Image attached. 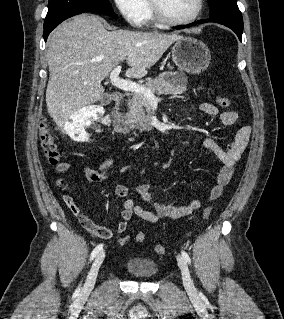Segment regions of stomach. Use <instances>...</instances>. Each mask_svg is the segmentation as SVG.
I'll use <instances>...</instances> for the list:
<instances>
[{"mask_svg": "<svg viewBox=\"0 0 284 319\" xmlns=\"http://www.w3.org/2000/svg\"><path fill=\"white\" fill-rule=\"evenodd\" d=\"M172 60L178 68L191 74H200L211 60L207 45L198 39L182 37L172 47Z\"/></svg>", "mask_w": 284, "mask_h": 319, "instance_id": "obj_1", "label": "stomach"}]
</instances>
